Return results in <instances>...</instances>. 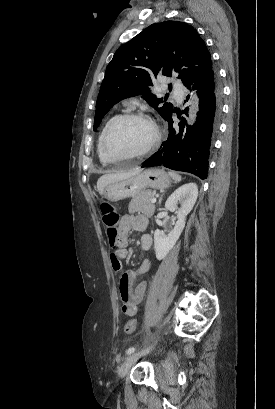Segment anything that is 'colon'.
<instances>
[{"instance_id":"colon-1","label":"colon","mask_w":275,"mask_h":409,"mask_svg":"<svg viewBox=\"0 0 275 409\" xmlns=\"http://www.w3.org/2000/svg\"><path fill=\"white\" fill-rule=\"evenodd\" d=\"M102 221L104 223L107 239L111 248H117L120 241L119 232V214L117 209L110 203L104 202L101 208ZM137 321L134 318L129 319L124 326L126 334H132L136 330Z\"/></svg>"}]
</instances>
